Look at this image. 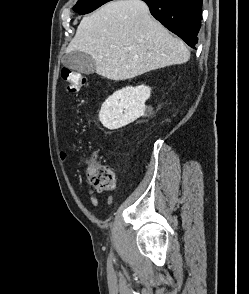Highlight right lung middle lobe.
I'll return each instance as SVG.
<instances>
[{
  "mask_svg": "<svg viewBox=\"0 0 249 294\" xmlns=\"http://www.w3.org/2000/svg\"><path fill=\"white\" fill-rule=\"evenodd\" d=\"M111 0H78L73 10L80 15L90 13Z\"/></svg>",
  "mask_w": 249,
  "mask_h": 294,
  "instance_id": "obj_1",
  "label": "right lung middle lobe"
}]
</instances>
